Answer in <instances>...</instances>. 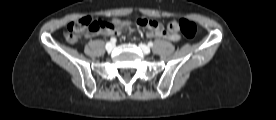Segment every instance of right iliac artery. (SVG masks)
<instances>
[{
	"label": "right iliac artery",
	"mask_w": 276,
	"mask_h": 120,
	"mask_svg": "<svg viewBox=\"0 0 276 120\" xmlns=\"http://www.w3.org/2000/svg\"><path fill=\"white\" fill-rule=\"evenodd\" d=\"M110 41H111L112 43H115V42H116V38H115V37H112V38L110 39Z\"/></svg>",
	"instance_id": "right-iliac-artery-1"
}]
</instances>
